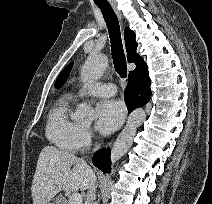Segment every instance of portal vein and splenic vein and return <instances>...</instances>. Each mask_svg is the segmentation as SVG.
<instances>
[{
    "label": "portal vein and splenic vein",
    "instance_id": "obj_1",
    "mask_svg": "<svg viewBox=\"0 0 212 204\" xmlns=\"http://www.w3.org/2000/svg\"><path fill=\"white\" fill-rule=\"evenodd\" d=\"M69 201L71 204H82V196L79 193H73L70 196Z\"/></svg>",
    "mask_w": 212,
    "mask_h": 204
}]
</instances>
